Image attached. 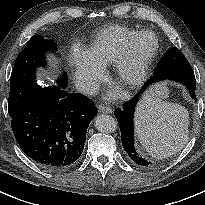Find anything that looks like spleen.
I'll use <instances>...</instances> for the list:
<instances>
[{
	"label": "spleen",
	"mask_w": 205,
	"mask_h": 205,
	"mask_svg": "<svg viewBox=\"0 0 205 205\" xmlns=\"http://www.w3.org/2000/svg\"><path fill=\"white\" fill-rule=\"evenodd\" d=\"M135 131L142 146L155 158L179 152L189 139V113L176 103L156 98L140 102L135 113Z\"/></svg>",
	"instance_id": "spleen-1"
}]
</instances>
